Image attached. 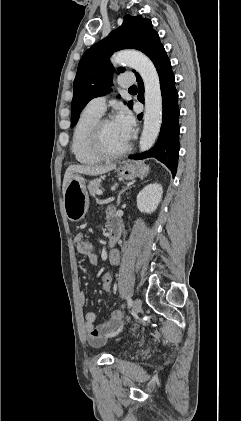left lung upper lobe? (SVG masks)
<instances>
[{"instance_id":"left-lung-upper-lobe-1","label":"left lung upper lobe","mask_w":241,"mask_h":421,"mask_svg":"<svg viewBox=\"0 0 241 421\" xmlns=\"http://www.w3.org/2000/svg\"><path fill=\"white\" fill-rule=\"evenodd\" d=\"M156 34L149 19L128 14L119 28L83 54L73 86L71 127L76 125L80 112L91 99L110 92L114 71L109 62L110 55L128 48L145 53ZM118 71L123 72L124 68L120 67ZM128 105L131 107L132 102Z\"/></svg>"}]
</instances>
